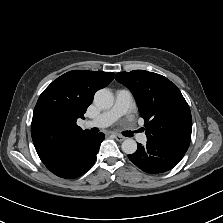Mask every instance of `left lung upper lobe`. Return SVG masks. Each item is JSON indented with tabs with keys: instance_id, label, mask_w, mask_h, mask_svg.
Segmentation results:
<instances>
[{
	"instance_id": "left-lung-upper-lobe-1",
	"label": "left lung upper lobe",
	"mask_w": 223,
	"mask_h": 223,
	"mask_svg": "<svg viewBox=\"0 0 223 223\" xmlns=\"http://www.w3.org/2000/svg\"><path fill=\"white\" fill-rule=\"evenodd\" d=\"M116 80L133 93L144 118L147 140L186 153L192 117L177 86L160 74L144 70L120 72Z\"/></svg>"
}]
</instances>
